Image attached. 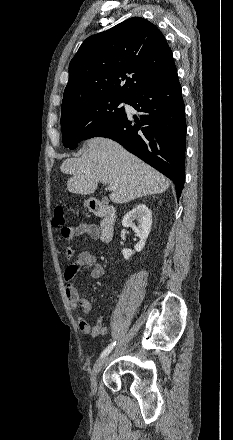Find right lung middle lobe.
<instances>
[{
  "mask_svg": "<svg viewBox=\"0 0 233 440\" xmlns=\"http://www.w3.org/2000/svg\"><path fill=\"white\" fill-rule=\"evenodd\" d=\"M124 98H94L62 108L61 128L64 146L75 149L82 140L100 136L125 114Z\"/></svg>",
  "mask_w": 233,
  "mask_h": 440,
  "instance_id": "obj_1",
  "label": "right lung middle lobe"
}]
</instances>
